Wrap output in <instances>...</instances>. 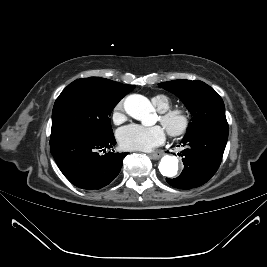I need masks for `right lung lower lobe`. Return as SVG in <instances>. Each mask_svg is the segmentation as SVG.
<instances>
[{"mask_svg": "<svg viewBox=\"0 0 267 267\" xmlns=\"http://www.w3.org/2000/svg\"><path fill=\"white\" fill-rule=\"evenodd\" d=\"M116 144L108 137L85 133H66L50 140L51 153L64 176L75 186L97 190L110 184L119 174L127 153L106 152Z\"/></svg>", "mask_w": 267, "mask_h": 267, "instance_id": "98d812e1", "label": "right lung lower lobe"}]
</instances>
